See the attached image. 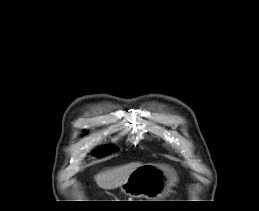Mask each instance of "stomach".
I'll list each match as a JSON object with an SVG mask.
<instances>
[{"label":"stomach","instance_id":"1","mask_svg":"<svg viewBox=\"0 0 259 211\" xmlns=\"http://www.w3.org/2000/svg\"><path fill=\"white\" fill-rule=\"evenodd\" d=\"M174 182V176L167 166L145 164L129 175L120 186V191L133 198L159 199L169 194Z\"/></svg>","mask_w":259,"mask_h":211}]
</instances>
